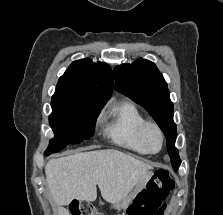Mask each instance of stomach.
<instances>
[{"mask_svg": "<svg viewBox=\"0 0 223 215\" xmlns=\"http://www.w3.org/2000/svg\"><path fill=\"white\" fill-rule=\"evenodd\" d=\"M154 173L153 171H145V173H142L135 189L131 191L130 195H127V197H123L121 201H118V203H115L114 207L116 209H129V205H131V201H135V198L131 197L132 193H141V190H147L148 189V183L151 181Z\"/></svg>", "mask_w": 223, "mask_h": 215, "instance_id": "0dacf381", "label": "stomach"}]
</instances>
